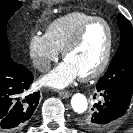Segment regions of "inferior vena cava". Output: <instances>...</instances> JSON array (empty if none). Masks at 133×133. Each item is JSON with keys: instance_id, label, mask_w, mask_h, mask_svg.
Instances as JSON below:
<instances>
[{"instance_id": "inferior-vena-cava-1", "label": "inferior vena cava", "mask_w": 133, "mask_h": 133, "mask_svg": "<svg viewBox=\"0 0 133 133\" xmlns=\"http://www.w3.org/2000/svg\"><path fill=\"white\" fill-rule=\"evenodd\" d=\"M36 68L39 69V71L46 72L50 69V60L46 58H39L35 60L34 62Z\"/></svg>"}]
</instances>
